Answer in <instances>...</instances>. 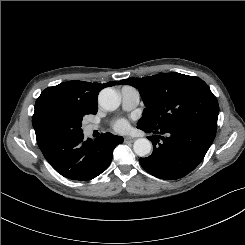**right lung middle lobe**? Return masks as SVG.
<instances>
[{
	"mask_svg": "<svg viewBox=\"0 0 245 245\" xmlns=\"http://www.w3.org/2000/svg\"><path fill=\"white\" fill-rule=\"evenodd\" d=\"M96 113V109H89L61 93L42 92L35 103L32 123L37 134L53 141L69 135L82 134L83 117Z\"/></svg>",
	"mask_w": 245,
	"mask_h": 245,
	"instance_id": "dd1d6c3e",
	"label": "right lung middle lobe"
}]
</instances>
